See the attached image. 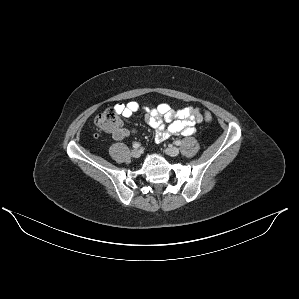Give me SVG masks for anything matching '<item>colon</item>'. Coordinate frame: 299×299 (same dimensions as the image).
<instances>
[{
  "instance_id": "colon-1",
  "label": "colon",
  "mask_w": 299,
  "mask_h": 299,
  "mask_svg": "<svg viewBox=\"0 0 299 299\" xmlns=\"http://www.w3.org/2000/svg\"><path fill=\"white\" fill-rule=\"evenodd\" d=\"M119 115L114 107L107 108L96 117L95 125L102 131L117 133L122 129V121ZM203 117L207 122L212 121L210 112H204Z\"/></svg>"
}]
</instances>
